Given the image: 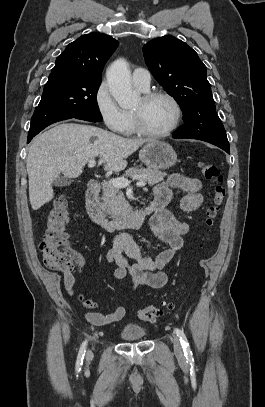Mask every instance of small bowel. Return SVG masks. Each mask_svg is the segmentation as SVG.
Returning a JSON list of instances; mask_svg holds the SVG:
<instances>
[{
  "label": "small bowel",
  "instance_id": "small-bowel-1",
  "mask_svg": "<svg viewBox=\"0 0 265 407\" xmlns=\"http://www.w3.org/2000/svg\"><path fill=\"white\" fill-rule=\"evenodd\" d=\"M201 187L200 179L178 173L171 174L166 181L155 186L154 200H161L163 205L152 211L150 226L155 237L167 244V248L155 258L143 257L132 238L120 236L106 254L107 261L114 265L112 275L116 279H130L133 292L143 287L162 288L166 285L168 278L164 269L182 250L184 236L188 232L187 223L177 219L166 205L171 199L172 190H180L185 194L181 200L182 210L185 212L197 210L203 203ZM125 254L134 259L135 263L130 264ZM84 263L83 257L76 255L75 266L78 273L82 271ZM63 283L68 294L87 309L85 318L89 324L104 326L124 318L126 314L124 306H118L108 314L95 311V302L79 292L77 279L72 272H63Z\"/></svg>",
  "mask_w": 265,
  "mask_h": 407
}]
</instances>
